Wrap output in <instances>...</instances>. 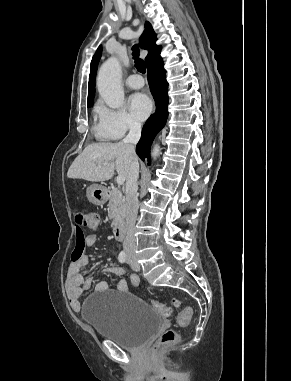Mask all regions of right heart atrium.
Instances as JSON below:
<instances>
[{
  "instance_id": "1",
  "label": "right heart atrium",
  "mask_w": 291,
  "mask_h": 381,
  "mask_svg": "<svg viewBox=\"0 0 291 381\" xmlns=\"http://www.w3.org/2000/svg\"><path fill=\"white\" fill-rule=\"evenodd\" d=\"M97 113L101 129L109 139H120L127 133L136 132L141 128L140 122L125 108L99 105Z\"/></svg>"
}]
</instances>
